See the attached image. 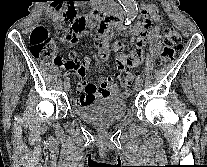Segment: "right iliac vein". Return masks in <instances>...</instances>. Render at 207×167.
<instances>
[{
    "label": "right iliac vein",
    "instance_id": "obj_1",
    "mask_svg": "<svg viewBox=\"0 0 207 167\" xmlns=\"http://www.w3.org/2000/svg\"><path fill=\"white\" fill-rule=\"evenodd\" d=\"M64 89H65V91H69L70 90V84L69 83H66L64 85Z\"/></svg>",
    "mask_w": 207,
    "mask_h": 167
}]
</instances>
